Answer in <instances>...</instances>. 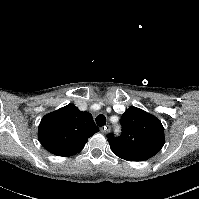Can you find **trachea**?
Masks as SVG:
<instances>
[{"label": "trachea", "mask_w": 199, "mask_h": 199, "mask_svg": "<svg viewBox=\"0 0 199 199\" xmlns=\"http://www.w3.org/2000/svg\"><path fill=\"white\" fill-rule=\"evenodd\" d=\"M95 120L98 126H104L106 124V117L102 114L98 115Z\"/></svg>", "instance_id": "obj_1"}]
</instances>
